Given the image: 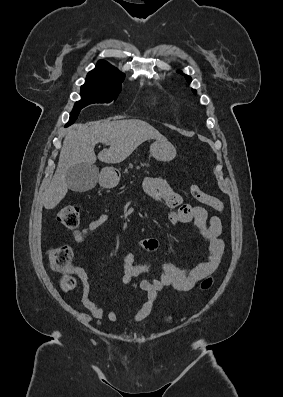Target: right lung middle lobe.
Returning a JSON list of instances; mask_svg holds the SVG:
<instances>
[{
    "instance_id": "dd1d6c3e",
    "label": "right lung middle lobe",
    "mask_w": 283,
    "mask_h": 397,
    "mask_svg": "<svg viewBox=\"0 0 283 397\" xmlns=\"http://www.w3.org/2000/svg\"><path fill=\"white\" fill-rule=\"evenodd\" d=\"M122 81L86 80L81 87V100L74 105L66 126L75 122L80 110L85 106L93 103H110L115 100L121 91Z\"/></svg>"
}]
</instances>
